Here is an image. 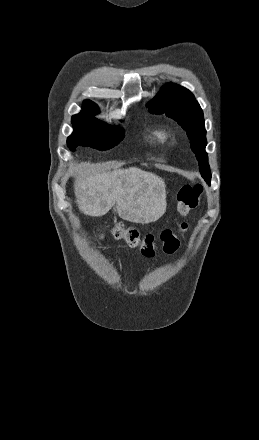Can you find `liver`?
<instances>
[{
    "label": "liver",
    "mask_w": 259,
    "mask_h": 440,
    "mask_svg": "<svg viewBox=\"0 0 259 440\" xmlns=\"http://www.w3.org/2000/svg\"><path fill=\"white\" fill-rule=\"evenodd\" d=\"M73 171L76 202L85 215L103 216L116 204L122 219L148 224L166 212V185L153 173L136 167L95 172L90 163L76 164Z\"/></svg>",
    "instance_id": "liver-1"
}]
</instances>
